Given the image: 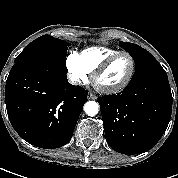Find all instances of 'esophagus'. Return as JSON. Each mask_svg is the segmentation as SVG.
<instances>
[{"instance_id":"1","label":"esophagus","mask_w":178,"mask_h":178,"mask_svg":"<svg viewBox=\"0 0 178 178\" xmlns=\"http://www.w3.org/2000/svg\"><path fill=\"white\" fill-rule=\"evenodd\" d=\"M88 99H90V100H96L97 97L93 93H89L88 94Z\"/></svg>"}]
</instances>
